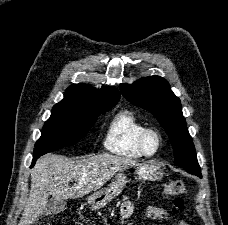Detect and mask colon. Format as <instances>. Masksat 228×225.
Instances as JSON below:
<instances>
[{
  "mask_svg": "<svg viewBox=\"0 0 228 225\" xmlns=\"http://www.w3.org/2000/svg\"><path fill=\"white\" fill-rule=\"evenodd\" d=\"M165 192L169 197L175 199L173 203V209L175 212H179L183 206L182 196L186 193V187L181 180H171L165 187Z\"/></svg>",
  "mask_w": 228,
  "mask_h": 225,
  "instance_id": "obj_1",
  "label": "colon"
}]
</instances>
